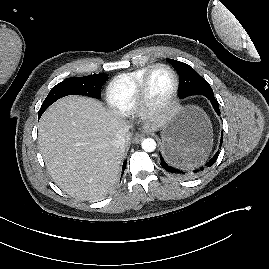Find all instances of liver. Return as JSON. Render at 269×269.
Returning <instances> with one entry per match:
<instances>
[{"instance_id": "obj_1", "label": "liver", "mask_w": 269, "mask_h": 269, "mask_svg": "<svg viewBox=\"0 0 269 269\" xmlns=\"http://www.w3.org/2000/svg\"><path fill=\"white\" fill-rule=\"evenodd\" d=\"M167 117L146 124L147 130L162 129ZM129 124L93 98L64 97L51 105L38 124L40 152L54 182L81 200L101 198L113 190L129 145ZM127 130L124 147L112 144Z\"/></svg>"}]
</instances>
